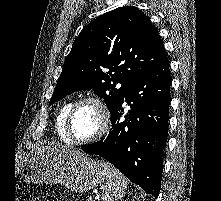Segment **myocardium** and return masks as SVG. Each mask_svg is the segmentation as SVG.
<instances>
[{
	"label": "myocardium",
	"instance_id": "1",
	"mask_svg": "<svg viewBox=\"0 0 221 201\" xmlns=\"http://www.w3.org/2000/svg\"><path fill=\"white\" fill-rule=\"evenodd\" d=\"M87 103L94 104L97 107L101 116V127H100V130L97 132V134H95L94 136L88 139L79 140V139H76L72 134V129H71L72 120L76 111L82 105L87 104ZM110 120H111V115H110L109 108L100 97L94 96V95L85 96L77 100L76 102H74L73 105L71 106L67 114L66 123H65L66 133L71 143H74L77 145L91 144L101 139L107 133L110 127Z\"/></svg>",
	"mask_w": 221,
	"mask_h": 201
}]
</instances>
